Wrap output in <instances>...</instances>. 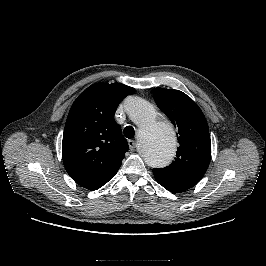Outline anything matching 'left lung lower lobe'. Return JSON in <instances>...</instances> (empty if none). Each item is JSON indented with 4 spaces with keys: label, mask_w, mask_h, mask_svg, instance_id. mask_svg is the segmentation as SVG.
Here are the masks:
<instances>
[{
    "label": "left lung lower lobe",
    "mask_w": 266,
    "mask_h": 266,
    "mask_svg": "<svg viewBox=\"0 0 266 266\" xmlns=\"http://www.w3.org/2000/svg\"><path fill=\"white\" fill-rule=\"evenodd\" d=\"M158 182V181H157ZM159 184H161L164 188H166L167 190H169V191H171V192H180V191H177L176 189H173V188H171V187H169V186H167V185H164V184H162V183H160V182H158Z\"/></svg>",
    "instance_id": "left-lung-lower-lobe-1"
}]
</instances>
